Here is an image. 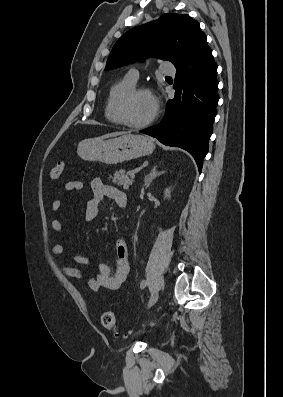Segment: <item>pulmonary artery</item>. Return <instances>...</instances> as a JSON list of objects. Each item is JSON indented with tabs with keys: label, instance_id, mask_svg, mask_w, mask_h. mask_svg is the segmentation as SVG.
Listing matches in <instances>:
<instances>
[{
	"label": "pulmonary artery",
	"instance_id": "1",
	"mask_svg": "<svg viewBox=\"0 0 283 397\" xmlns=\"http://www.w3.org/2000/svg\"><path fill=\"white\" fill-rule=\"evenodd\" d=\"M161 71H162V73H164V74L171 75V74H174V73H175V68H174V66L171 65V64H164V65L162 66ZM127 76H128L132 81L137 82V80H138V78H139V73H138V71H137L136 69H131V70L128 72Z\"/></svg>",
	"mask_w": 283,
	"mask_h": 397
}]
</instances>
